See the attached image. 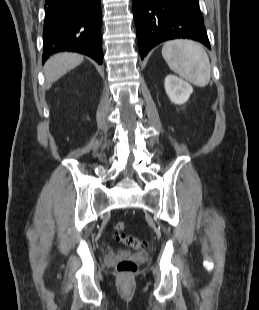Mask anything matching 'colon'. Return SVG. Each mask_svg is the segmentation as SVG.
<instances>
[{"label":"colon","mask_w":259,"mask_h":310,"mask_svg":"<svg viewBox=\"0 0 259 310\" xmlns=\"http://www.w3.org/2000/svg\"><path fill=\"white\" fill-rule=\"evenodd\" d=\"M114 229H115V239L118 242H121L124 245L131 247L133 249H140L145 246L144 241L124 232L125 224L123 222H117L114 225ZM116 269L122 275H130L137 270V265L131 259H123L117 263Z\"/></svg>","instance_id":"5ec220e1"}]
</instances>
